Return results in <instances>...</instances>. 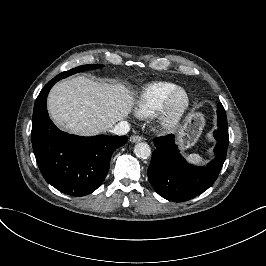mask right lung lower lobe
Listing matches in <instances>:
<instances>
[{"label":"right lung lower lobe","instance_id":"98d812e1","mask_svg":"<svg viewBox=\"0 0 266 266\" xmlns=\"http://www.w3.org/2000/svg\"><path fill=\"white\" fill-rule=\"evenodd\" d=\"M49 81L38 95L33 111L32 146L45 180L62 193L84 196L103 183L113 151L127 142L126 136L80 137L60 131L50 120L46 100Z\"/></svg>","mask_w":266,"mask_h":266}]
</instances>
